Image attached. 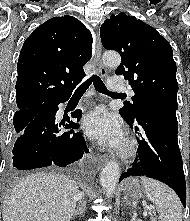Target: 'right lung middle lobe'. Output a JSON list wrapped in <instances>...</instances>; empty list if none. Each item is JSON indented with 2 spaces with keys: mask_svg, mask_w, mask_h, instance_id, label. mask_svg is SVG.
<instances>
[{
  "mask_svg": "<svg viewBox=\"0 0 190 221\" xmlns=\"http://www.w3.org/2000/svg\"><path fill=\"white\" fill-rule=\"evenodd\" d=\"M41 107H42V105L31 108L29 110L19 112V113H15L14 119H13V124H14V128L17 133H21L23 131V129L26 127V125L31 120H33L37 114H39Z\"/></svg>",
  "mask_w": 190,
  "mask_h": 221,
  "instance_id": "1",
  "label": "right lung middle lobe"
}]
</instances>
